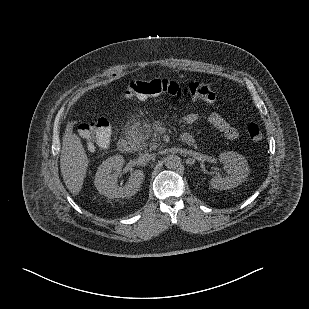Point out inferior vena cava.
Instances as JSON below:
<instances>
[{
  "label": "inferior vena cava",
  "instance_id": "602c4592",
  "mask_svg": "<svg viewBox=\"0 0 309 309\" xmlns=\"http://www.w3.org/2000/svg\"><path fill=\"white\" fill-rule=\"evenodd\" d=\"M155 158V155L154 154H151V153H142L139 155L138 157V161L141 163V164H146L148 162H150L151 160H153Z\"/></svg>",
  "mask_w": 309,
  "mask_h": 309
}]
</instances>
